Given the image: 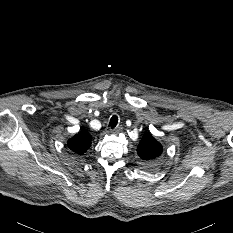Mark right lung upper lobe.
Segmentation results:
<instances>
[{"label": "right lung upper lobe", "instance_id": "obj_1", "mask_svg": "<svg viewBox=\"0 0 233 233\" xmlns=\"http://www.w3.org/2000/svg\"><path fill=\"white\" fill-rule=\"evenodd\" d=\"M91 139V135L85 129H82L79 133L68 140L67 146L73 152L81 155L91 146Z\"/></svg>", "mask_w": 233, "mask_h": 233}]
</instances>
